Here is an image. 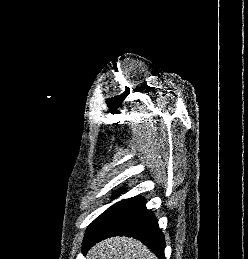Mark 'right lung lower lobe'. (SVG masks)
<instances>
[{
  "instance_id": "1",
  "label": "right lung lower lobe",
  "mask_w": 248,
  "mask_h": 259,
  "mask_svg": "<svg viewBox=\"0 0 248 259\" xmlns=\"http://www.w3.org/2000/svg\"><path fill=\"white\" fill-rule=\"evenodd\" d=\"M128 236L147 245L159 259H165V240L154 214L145 207L142 197L116 203L97 227L84 238L83 253L94 244L111 236Z\"/></svg>"
}]
</instances>
